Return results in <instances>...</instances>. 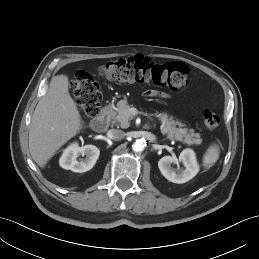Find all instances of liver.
I'll return each mask as SVG.
<instances>
[{
    "mask_svg": "<svg viewBox=\"0 0 259 259\" xmlns=\"http://www.w3.org/2000/svg\"><path fill=\"white\" fill-rule=\"evenodd\" d=\"M68 77L51 79L47 93L38 102L29 130V150L33 160L45 167L55 152L82 129L83 121L69 94Z\"/></svg>",
    "mask_w": 259,
    "mask_h": 259,
    "instance_id": "obj_1",
    "label": "liver"
}]
</instances>
